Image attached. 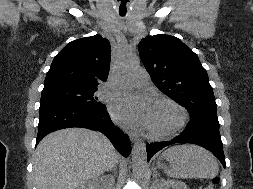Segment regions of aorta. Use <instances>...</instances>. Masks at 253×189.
I'll list each match as a JSON object with an SVG mask.
<instances>
[{
	"mask_svg": "<svg viewBox=\"0 0 253 189\" xmlns=\"http://www.w3.org/2000/svg\"><path fill=\"white\" fill-rule=\"evenodd\" d=\"M139 59L134 56H124L120 67L122 70H130L137 68ZM132 169L137 174H143L147 169V151L146 145L142 142H137L132 148Z\"/></svg>",
	"mask_w": 253,
	"mask_h": 189,
	"instance_id": "762f6f07",
	"label": "aorta"
}]
</instances>
